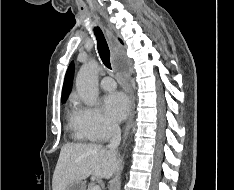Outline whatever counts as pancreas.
I'll return each mask as SVG.
<instances>
[{
  "mask_svg": "<svg viewBox=\"0 0 234 190\" xmlns=\"http://www.w3.org/2000/svg\"><path fill=\"white\" fill-rule=\"evenodd\" d=\"M94 186V183H90L89 185H88V189L87 190H92V187Z\"/></svg>",
  "mask_w": 234,
  "mask_h": 190,
  "instance_id": "1",
  "label": "pancreas"
}]
</instances>
